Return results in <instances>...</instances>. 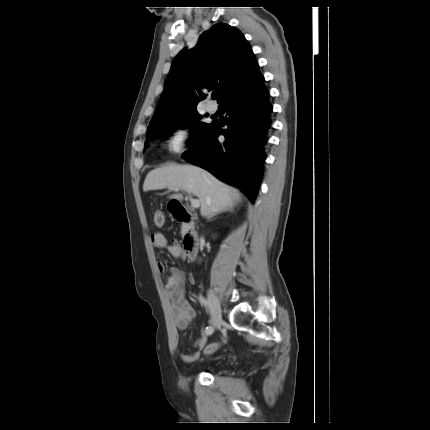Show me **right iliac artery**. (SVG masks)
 <instances>
[{
	"instance_id": "obj_1",
	"label": "right iliac artery",
	"mask_w": 430,
	"mask_h": 430,
	"mask_svg": "<svg viewBox=\"0 0 430 430\" xmlns=\"http://www.w3.org/2000/svg\"><path fill=\"white\" fill-rule=\"evenodd\" d=\"M199 302L201 303V305L208 307L209 302L207 301V299H205L204 297L200 296L199 298ZM214 329L212 326H208L206 327V333L208 335H211L213 333Z\"/></svg>"
}]
</instances>
